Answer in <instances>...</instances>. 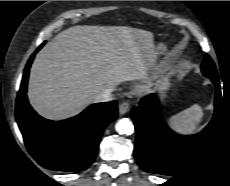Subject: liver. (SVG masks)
<instances>
[{"label": "liver", "mask_w": 230, "mask_h": 186, "mask_svg": "<svg viewBox=\"0 0 230 186\" xmlns=\"http://www.w3.org/2000/svg\"><path fill=\"white\" fill-rule=\"evenodd\" d=\"M157 50L153 34L126 26H74L59 33L35 57L28 99L44 118L73 117L99 93L146 77Z\"/></svg>", "instance_id": "obj_1"}]
</instances>
